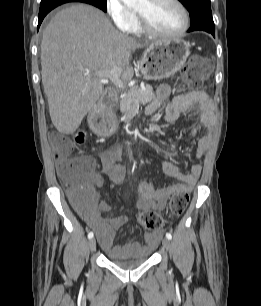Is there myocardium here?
I'll return each mask as SVG.
<instances>
[{"label": "myocardium", "mask_w": 261, "mask_h": 306, "mask_svg": "<svg viewBox=\"0 0 261 306\" xmlns=\"http://www.w3.org/2000/svg\"><path fill=\"white\" fill-rule=\"evenodd\" d=\"M149 2H154L155 0H148ZM172 3H174L181 11L183 22L181 27L173 32V33H164L157 29H155L150 22L148 21L147 17L143 15L142 13H139L136 11V17L137 21L139 23V26L143 30V32L155 36V37H161V38H176L182 36L190 27V14L185 6V4L181 0H170Z\"/></svg>", "instance_id": "obj_1"}]
</instances>
